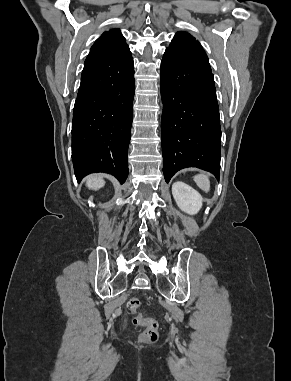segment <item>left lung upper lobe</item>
<instances>
[{"instance_id": "5c2ea615", "label": "left lung upper lobe", "mask_w": 291, "mask_h": 381, "mask_svg": "<svg viewBox=\"0 0 291 381\" xmlns=\"http://www.w3.org/2000/svg\"><path fill=\"white\" fill-rule=\"evenodd\" d=\"M167 49L177 53L198 67L212 71L203 47L187 32H177Z\"/></svg>"}]
</instances>
